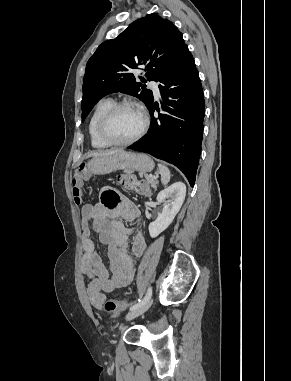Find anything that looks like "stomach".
Segmentation results:
<instances>
[{
	"instance_id": "stomach-1",
	"label": "stomach",
	"mask_w": 291,
	"mask_h": 381,
	"mask_svg": "<svg viewBox=\"0 0 291 381\" xmlns=\"http://www.w3.org/2000/svg\"><path fill=\"white\" fill-rule=\"evenodd\" d=\"M87 171L94 175H104L115 170L150 172L154 168L153 160L146 154L118 152L112 155L98 156L86 164Z\"/></svg>"
}]
</instances>
